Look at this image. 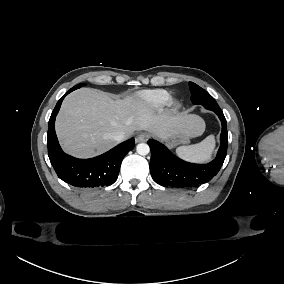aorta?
I'll list each match as a JSON object with an SVG mask.
<instances>
[{"mask_svg":"<svg viewBox=\"0 0 284 284\" xmlns=\"http://www.w3.org/2000/svg\"><path fill=\"white\" fill-rule=\"evenodd\" d=\"M136 150L139 155H143V156L147 155L150 152L149 145L146 143L138 144Z\"/></svg>","mask_w":284,"mask_h":284,"instance_id":"aorta-1","label":"aorta"}]
</instances>
